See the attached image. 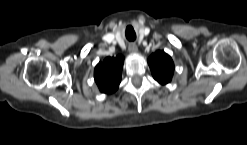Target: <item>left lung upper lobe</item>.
<instances>
[{
  "label": "left lung upper lobe",
  "instance_id": "1",
  "mask_svg": "<svg viewBox=\"0 0 247 145\" xmlns=\"http://www.w3.org/2000/svg\"><path fill=\"white\" fill-rule=\"evenodd\" d=\"M148 64L154 79L160 84L165 85L171 81L174 63L164 51L153 53L148 59Z\"/></svg>",
  "mask_w": 247,
  "mask_h": 145
}]
</instances>
